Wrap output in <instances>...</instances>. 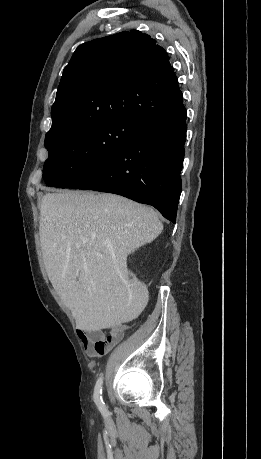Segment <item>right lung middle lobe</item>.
<instances>
[{
	"label": "right lung middle lobe",
	"mask_w": 261,
	"mask_h": 459,
	"mask_svg": "<svg viewBox=\"0 0 261 459\" xmlns=\"http://www.w3.org/2000/svg\"><path fill=\"white\" fill-rule=\"evenodd\" d=\"M141 123L110 121L75 134L46 135L49 157L44 163L47 186L70 188L118 154Z\"/></svg>",
	"instance_id": "dd1d6c3e"
}]
</instances>
